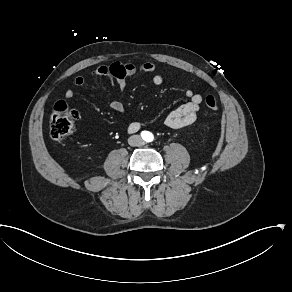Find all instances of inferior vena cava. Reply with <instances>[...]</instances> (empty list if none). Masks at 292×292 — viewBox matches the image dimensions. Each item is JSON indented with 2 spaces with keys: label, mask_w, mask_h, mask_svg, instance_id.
<instances>
[{
  "label": "inferior vena cava",
  "mask_w": 292,
  "mask_h": 292,
  "mask_svg": "<svg viewBox=\"0 0 292 292\" xmlns=\"http://www.w3.org/2000/svg\"><path fill=\"white\" fill-rule=\"evenodd\" d=\"M131 146H141L144 145V140L139 135H133L128 139Z\"/></svg>",
  "instance_id": "602c4592"
}]
</instances>
